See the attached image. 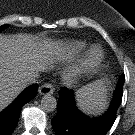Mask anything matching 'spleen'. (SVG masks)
Here are the masks:
<instances>
[{
	"label": "spleen",
	"mask_w": 135,
	"mask_h": 135,
	"mask_svg": "<svg viewBox=\"0 0 135 135\" xmlns=\"http://www.w3.org/2000/svg\"><path fill=\"white\" fill-rule=\"evenodd\" d=\"M108 81L96 80L80 88L77 92V105L88 114H98L108 106Z\"/></svg>",
	"instance_id": "1"
}]
</instances>
